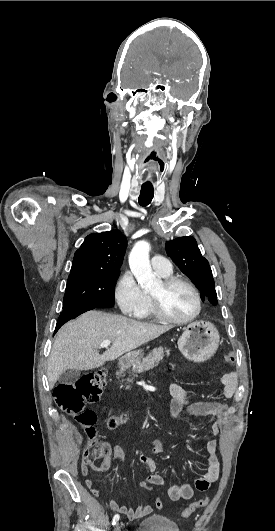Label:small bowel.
Returning a JSON list of instances; mask_svg holds the SVG:
<instances>
[{"label": "small bowel", "instance_id": "small-bowel-1", "mask_svg": "<svg viewBox=\"0 0 275 531\" xmlns=\"http://www.w3.org/2000/svg\"><path fill=\"white\" fill-rule=\"evenodd\" d=\"M220 382L223 385L222 396L226 399L232 398L237 389V373L227 372L223 374ZM170 393L172 397L170 401V413L175 419L181 420L185 416L197 418L211 417L210 433L213 438L206 442L207 469L205 474L197 479L194 485H173L167 490L168 497L172 501L189 500L193 497L195 490L201 492L208 490L219 476L220 461L218 457V442L215 437L219 434L220 420L226 409V405L215 401L191 402L190 393L178 383L171 384ZM185 406H187L186 410H184ZM151 449L156 454L162 453L164 451L163 442L160 439H154L151 444ZM113 456L120 462L124 460V453L120 447L113 449ZM138 460L147 473V478H151L152 483H157L158 486L164 484L163 477L156 472V463L151 456L141 452L139 453ZM88 489L95 497L101 494L100 489L96 485ZM106 507L113 512L124 514L129 520L145 517L152 512V506L148 504L141 505L135 509H128L115 500L107 502Z\"/></svg>", "mask_w": 275, "mask_h": 531}]
</instances>
